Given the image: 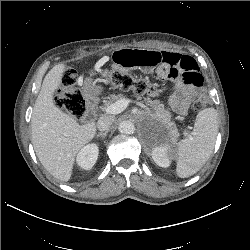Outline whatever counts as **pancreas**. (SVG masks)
I'll return each instance as SVG.
<instances>
[{
	"mask_svg": "<svg viewBox=\"0 0 250 250\" xmlns=\"http://www.w3.org/2000/svg\"><path fill=\"white\" fill-rule=\"evenodd\" d=\"M123 95H110L103 98V106H101V109H105L107 106L112 104L114 101H118L120 99H123ZM146 104L150 107L151 116L160 119L164 123H166L172 133V138L174 141L177 140L178 137V131L175 125L170 122V112L165 109V106L160 103L159 100H150L146 99Z\"/></svg>",
	"mask_w": 250,
	"mask_h": 250,
	"instance_id": "1",
	"label": "pancreas"
}]
</instances>
